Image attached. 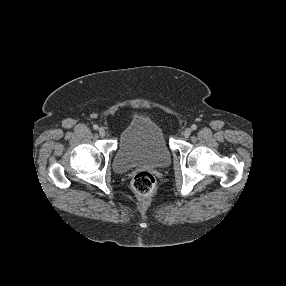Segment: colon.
Returning <instances> with one entry per match:
<instances>
[{"label": "colon", "instance_id": "5ec220e1", "mask_svg": "<svg viewBox=\"0 0 286 286\" xmlns=\"http://www.w3.org/2000/svg\"><path fill=\"white\" fill-rule=\"evenodd\" d=\"M156 187L154 176L146 171L136 174L132 180V188L139 196H150Z\"/></svg>", "mask_w": 286, "mask_h": 286}]
</instances>
